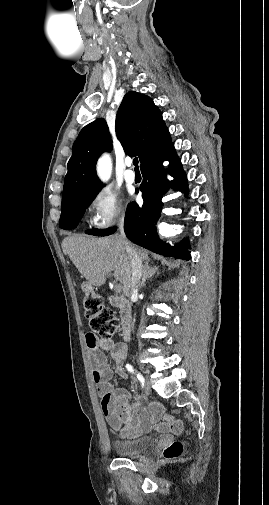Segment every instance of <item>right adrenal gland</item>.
<instances>
[{
    "instance_id": "obj_1",
    "label": "right adrenal gland",
    "mask_w": 269,
    "mask_h": 505,
    "mask_svg": "<svg viewBox=\"0 0 269 505\" xmlns=\"http://www.w3.org/2000/svg\"><path fill=\"white\" fill-rule=\"evenodd\" d=\"M149 262H150L149 259L145 261V265H144V269H143V276H142V281H141V284H140V288L144 287L145 286V282L147 281V279L151 278L158 271V267H156V266H154V267L149 266Z\"/></svg>"
}]
</instances>
